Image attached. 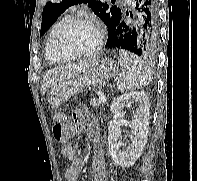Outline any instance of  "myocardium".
Returning <instances> with one entry per match:
<instances>
[{
    "label": "myocardium",
    "instance_id": "f54148a6",
    "mask_svg": "<svg viewBox=\"0 0 197 181\" xmlns=\"http://www.w3.org/2000/svg\"><path fill=\"white\" fill-rule=\"evenodd\" d=\"M80 23H87V24L92 25L95 28L96 33H97L96 43H95L94 47L86 53H82V54H78V55H74V56H66V55H64L62 48H61L62 39H63L64 35L66 34V32L71 27H73L76 24H80ZM103 43H104V30H103L102 26L100 25V23L95 18H93L91 16H77V17L70 18L60 28V30L56 36V39H55L54 48H55L56 55L58 56V58L61 61L72 62V61H77V60L88 59V58L95 56L102 48Z\"/></svg>",
    "mask_w": 197,
    "mask_h": 181
}]
</instances>
